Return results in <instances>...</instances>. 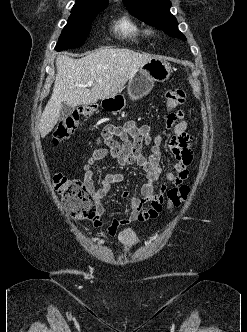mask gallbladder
<instances>
[{"instance_id":"obj_1","label":"gallbladder","mask_w":247,"mask_h":332,"mask_svg":"<svg viewBox=\"0 0 247 332\" xmlns=\"http://www.w3.org/2000/svg\"><path fill=\"white\" fill-rule=\"evenodd\" d=\"M74 111V108L69 106L66 103L62 104L61 110H60V117L62 119L66 118L67 116H69L72 112Z\"/></svg>"}]
</instances>
